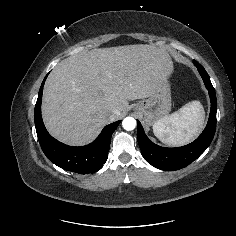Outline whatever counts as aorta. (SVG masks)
Returning <instances> with one entry per match:
<instances>
[{
    "instance_id": "obj_1",
    "label": "aorta",
    "mask_w": 236,
    "mask_h": 236,
    "mask_svg": "<svg viewBox=\"0 0 236 236\" xmlns=\"http://www.w3.org/2000/svg\"><path fill=\"white\" fill-rule=\"evenodd\" d=\"M122 126L125 130L131 131L136 127V120L133 117H126L122 121Z\"/></svg>"
}]
</instances>
